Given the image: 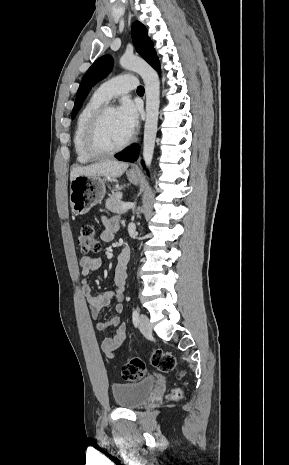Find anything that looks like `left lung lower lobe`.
Returning a JSON list of instances; mask_svg holds the SVG:
<instances>
[{
	"instance_id": "obj_1",
	"label": "left lung lower lobe",
	"mask_w": 289,
	"mask_h": 465,
	"mask_svg": "<svg viewBox=\"0 0 289 465\" xmlns=\"http://www.w3.org/2000/svg\"><path fill=\"white\" fill-rule=\"evenodd\" d=\"M139 153V145L136 144L130 149L124 150L115 155V157L121 161L133 162L136 160ZM144 166V163H143Z\"/></svg>"
}]
</instances>
